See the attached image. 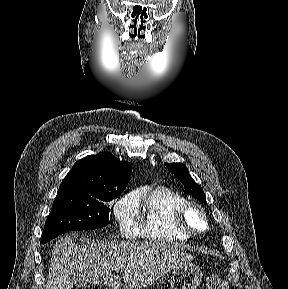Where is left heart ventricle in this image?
I'll list each match as a JSON object with an SVG mask.
<instances>
[{"label":"left heart ventricle","instance_id":"b2bd125f","mask_svg":"<svg viewBox=\"0 0 288 289\" xmlns=\"http://www.w3.org/2000/svg\"><path fill=\"white\" fill-rule=\"evenodd\" d=\"M187 221L194 229H200L204 226L201 215L195 210H190L187 214Z\"/></svg>","mask_w":288,"mask_h":289}]
</instances>
